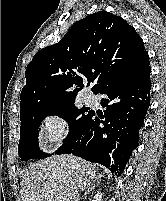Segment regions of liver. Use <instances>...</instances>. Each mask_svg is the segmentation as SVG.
<instances>
[{"mask_svg": "<svg viewBox=\"0 0 166 201\" xmlns=\"http://www.w3.org/2000/svg\"><path fill=\"white\" fill-rule=\"evenodd\" d=\"M97 177L94 164L71 155H54L24 172L22 201H79V192Z\"/></svg>", "mask_w": 166, "mask_h": 201, "instance_id": "obj_1", "label": "liver"}]
</instances>
